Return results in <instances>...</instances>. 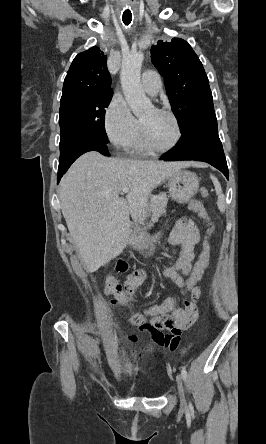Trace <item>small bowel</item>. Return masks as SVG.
I'll return each mask as SVG.
<instances>
[{"instance_id": "c3829d8e", "label": "small bowel", "mask_w": 266, "mask_h": 444, "mask_svg": "<svg viewBox=\"0 0 266 444\" xmlns=\"http://www.w3.org/2000/svg\"><path fill=\"white\" fill-rule=\"evenodd\" d=\"M169 240L173 244H180L181 252L173 263L163 267L162 273L180 287L183 283V278L179 275V271L188 275L192 270L195 251L200 240L199 230L192 220L182 218L177 221L170 232ZM128 279L133 283L134 289H136L143 283L145 273L141 271L134 272ZM114 283V279H106L104 293H108ZM199 296L200 289L196 287L191 293V300H186L183 308H176L170 314L163 317L136 318L128 314V321L132 325L137 326L140 332L151 335L158 345L173 352L179 345L181 333L189 329L198 318L196 301ZM164 329L168 332L163 333ZM128 340L129 342H135L137 337L132 335Z\"/></svg>"}]
</instances>
